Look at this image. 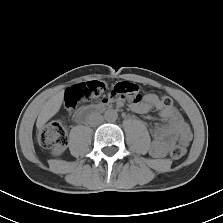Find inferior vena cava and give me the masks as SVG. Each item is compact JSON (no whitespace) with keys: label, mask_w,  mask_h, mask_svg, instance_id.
<instances>
[{"label":"inferior vena cava","mask_w":223,"mask_h":223,"mask_svg":"<svg viewBox=\"0 0 223 223\" xmlns=\"http://www.w3.org/2000/svg\"><path fill=\"white\" fill-rule=\"evenodd\" d=\"M103 120H104V118H103L102 115H100V114H95V115L92 117L91 121H90V125H91V126H98V125H100V124L103 122Z\"/></svg>","instance_id":"inferior-vena-cava-1"}]
</instances>
